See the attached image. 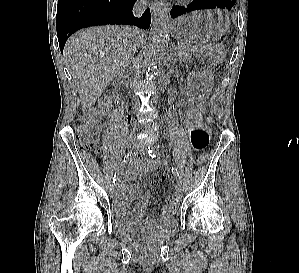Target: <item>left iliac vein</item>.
Returning <instances> with one entry per match:
<instances>
[{
  "label": "left iliac vein",
  "instance_id": "1",
  "mask_svg": "<svg viewBox=\"0 0 299 273\" xmlns=\"http://www.w3.org/2000/svg\"><path fill=\"white\" fill-rule=\"evenodd\" d=\"M137 150H138L139 152H141V153H144V152H145V148H144V146H142V145H139V146L137 147ZM176 189H177L178 191H182L183 186H182V183H181L180 181L177 182V184H176Z\"/></svg>",
  "mask_w": 299,
  "mask_h": 273
}]
</instances>
